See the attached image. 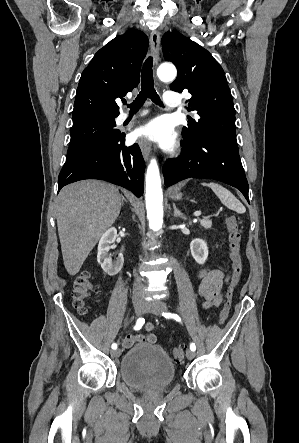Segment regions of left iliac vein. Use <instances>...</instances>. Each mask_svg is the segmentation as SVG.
Masks as SVG:
<instances>
[{"mask_svg": "<svg viewBox=\"0 0 299 443\" xmlns=\"http://www.w3.org/2000/svg\"><path fill=\"white\" fill-rule=\"evenodd\" d=\"M167 309L166 305L162 302H150L146 304L145 312L153 313L155 315H160L162 311H165ZM195 356L194 351L191 349H188L186 351V357L189 360H192Z\"/></svg>", "mask_w": 299, "mask_h": 443, "instance_id": "1", "label": "left iliac vein"}]
</instances>
